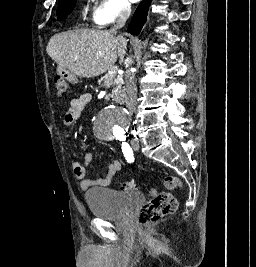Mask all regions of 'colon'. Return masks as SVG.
<instances>
[{
    "instance_id": "colon-1",
    "label": "colon",
    "mask_w": 256,
    "mask_h": 267,
    "mask_svg": "<svg viewBox=\"0 0 256 267\" xmlns=\"http://www.w3.org/2000/svg\"><path fill=\"white\" fill-rule=\"evenodd\" d=\"M55 91L58 96H65L70 93V82L65 81L64 77L55 76ZM165 186L168 189H181V181L174 175H166L164 178ZM122 190L136 192L138 185L136 182H122ZM152 195H157V189L151 188ZM159 197H152L137 212V223L142 228H151L152 222H157L161 218L174 213L177 209V201L171 193H162Z\"/></svg>"
}]
</instances>
